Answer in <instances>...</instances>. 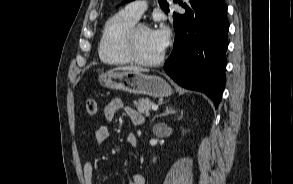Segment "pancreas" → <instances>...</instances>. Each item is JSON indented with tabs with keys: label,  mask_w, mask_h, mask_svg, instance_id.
<instances>
[{
	"label": "pancreas",
	"mask_w": 293,
	"mask_h": 184,
	"mask_svg": "<svg viewBox=\"0 0 293 184\" xmlns=\"http://www.w3.org/2000/svg\"><path fill=\"white\" fill-rule=\"evenodd\" d=\"M134 104L136 105L137 110L146 116L150 115L151 107L154 105L149 99H139L138 101H134Z\"/></svg>",
	"instance_id": "1"
}]
</instances>
